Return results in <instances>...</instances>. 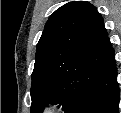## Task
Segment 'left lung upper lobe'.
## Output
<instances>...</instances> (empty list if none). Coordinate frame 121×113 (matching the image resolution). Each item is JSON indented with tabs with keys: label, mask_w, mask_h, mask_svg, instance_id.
<instances>
[{
	"label": "left lung upper lobe",
	"mask_w": 121,
	"mask_h": 113,
	"mask_svg": "<svg viewBox=\"0 0 121 113\" xmlns=\"http://www.w3.org/2000/svg\"><path fill=\"white\" fill-rule=\"evenodd\" d=\"M114 54L103 18L86 1L69 2L49 18L32 73L31 112L60 104L70 113Z\"/></svg>",
	"instance_id": "obj_1"
}]
</instances>
